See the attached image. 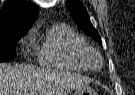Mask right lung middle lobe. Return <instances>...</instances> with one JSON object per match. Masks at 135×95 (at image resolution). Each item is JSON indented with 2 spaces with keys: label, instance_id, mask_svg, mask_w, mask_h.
<instances>
[{
  "label": "right lung middle lobe",
  "instance_id": "right-lung-middle-lobe-1",
  "mask_svg": "<svg viewBox=\"0 0 135 95\" xmlns=\"http://www.w3.org/2000/svg\"><path fill=\"white\" fill-rule=\"evenodd\" d=\"M26 33L27 31H15L0 35V62L16 57V42Z\"/></svg>",
  "mask_w": 135,
  "mask_h": 95
}]
</instances>
